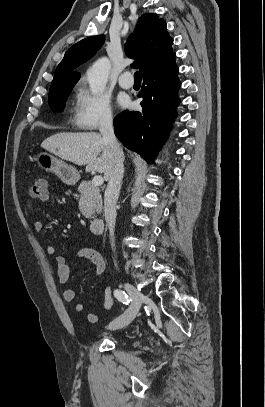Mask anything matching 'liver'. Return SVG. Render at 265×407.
<instances>
[{"label":"liver","instance_id":"6515ba94","mask_svg":"<svg viewBox=\"0 0 265 407\" xmlns=\"http://www.w3.org/2000/svg\"><path fill=\"white\" fill-rule=\"evenodd\" d=\"M41 147L76 165H86L87 171L103 173L105 180L112 173L114 153L99 133H58L45 139Z\"/></svg>","mask_w":265,"mask_h":407}]
</instances>
